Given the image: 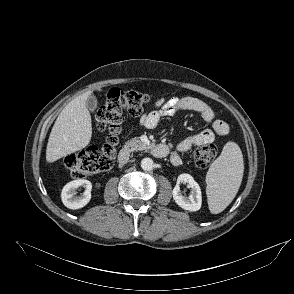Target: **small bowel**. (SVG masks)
<instances>
[{
	"mask_svg": "<svg viewBox=\"0 0 294 294\" xmlns=\"http://www.w3.org/2000/svg\"><path fill=\"white\" fill-rule=\"evenodd\" d=\"M181 111H194L201 115L202 119L210 125L211 129H206L182 140L171 153L170 159L174 165L182 162V154L189 151L193 146L205 142H213L217 136H225L229 132L228 125L215 117L213 109L201 99L195 97H172L169 99H159L154 108L145 113L140 124L146 128L157 127L163 117H175Z\"/></svg>",
	"mask_w": 294,
	"mask_h": 294,
	"instance_id": "c3829d8e",
	"label": "small bowel"
}]
</instances>
